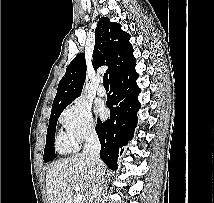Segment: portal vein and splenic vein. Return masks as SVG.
Returning <instances> with one entry per match:
<instances>
[{"label":"portal vein and splenic vein","mask_w":214,"mask_h":203,"mask_svg":"<svg viewBox=\"0 0 214 203\" xmlns=\"http://www.w3.org/2000/svg\"><path fill=\"white\" fill-rule=\"evenodd\" d=\"M72 187L75 191L77 192L80 191V186L74 184ZM82 199H83V196L81 194H77L73 198V203H82Z\"/></svg>","instance_id":"portal-vein-and-splenic-vein-1"}]
</instances>
